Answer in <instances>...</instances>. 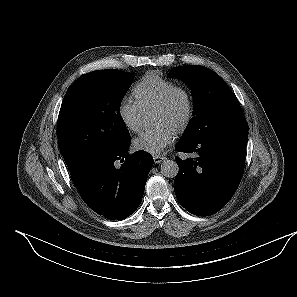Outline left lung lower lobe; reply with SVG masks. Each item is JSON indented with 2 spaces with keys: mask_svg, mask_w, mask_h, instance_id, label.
<instances>
[{
  "mask_svg": "<svg viewBox=\"0 0 297 297\" xmlns=\"http://www.w3.org/2000/svg\"><path fill=\"white\" fill-rule=\"evenodd\" d=\"M248 123L234 122L202 138L179 141L176 151L197 153V158L176 157L179 172L174 190L180 204L197 216H210L233 197L242 179Z\"/></svg>",
  "mask_w": 297,
  "mask_h": 297,
  "instance_id": "obj_1",
  "label": "left lung lower lobe"
}]
</instances>
